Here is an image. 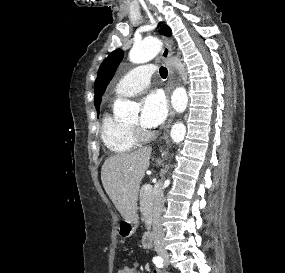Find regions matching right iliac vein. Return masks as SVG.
Segmentation results:
<instances>
[{"instance_id":"1","label":"right iliac vein","mask_w":285,"mask_h":273,"mask_svg":"<svg viewBox=\"0 0 285 273\" xmlns=\"http://www.w3.org/2000/svg\"><path fill=\"white\" fill-rule=\"evenodd\" d=\"M160 256H161V258L165 261V262H169V255L168 254H166V253H161L160 254Z\"/></svg>"}]
</instances>
